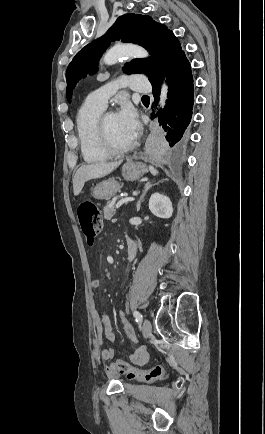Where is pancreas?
<instances>
[{
    "label": "pancreas",
    "instance_id": "obj_1",
    "mask_svg": "<svg viewBox=\"0 0 265 434\" xmlns=\"http://www.w3.org/2000/svg\"><path fill=\"white\" fill-rule=\"evenodd\" d=\"M117 200H122V198H117ZM115 206H116V204H113V206H111V202H107V204L103 210L105 220H111V218H113V216L116 212Z\"/></svg>",
    "mask_w": 265,
    "mask_h": 434
}]
</instances>
